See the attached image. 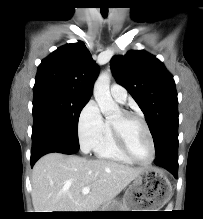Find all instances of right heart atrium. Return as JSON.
<instances>
[{
  "label": "right heart atrium",
  "instance_id": "right-heart-atrium-1",
  "mask_svg": "<svg viewBox=\"0 0 203 219\" xmlns=\"http://www.w3.org/2000/svg\"><path fill=\"white\" fill-rule=\"evenodd\" d=\"M104 123L97 103L90 100L81 110L77 122L78 139L83 152L94 150L102 134Z\"/></svg>",
  "mask_w": 203,
  "mask_h": 219
}]
</instances>
